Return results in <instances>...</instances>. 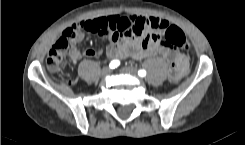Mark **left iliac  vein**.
<instances>
[{
	"mask_svg": "<svg viewBox=\"0 0 245 145\" xmlns=\"http://www.w3.org/2000/svg\"><path fill=\"white\" fill-rule=\"evenodd\" d=\"M121 70L123 73L129 74V75L135 76L137 74V69L135 67H132V66H125Z\"/></svg>",
	"mask_w": 245,
	"mask_h": 145,
	"instance_id": "1",
	"label": "left iliac vein"
}]
</instances>
